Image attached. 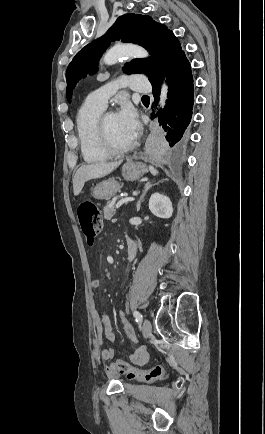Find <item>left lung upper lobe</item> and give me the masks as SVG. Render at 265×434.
<instances>
[{
  "instance_id": "5c2ea615",
  "label": "left lung upper lobe",
  "mask_w": 265,
  "mask_h": 434,
  "mask_svg": "<svg viewBox=\"0 0 265 434\" xmlns=\"http://www.w3.org/2000/svg\"><path fill=\"white\" fill-rule=\"evenodd\" d=\"M115 40L137 43L149 50L152 54L150 58L134 59L123 70L127 74H145L153 87L161 83L163 72L167 76L179 56L185 54L177 37L167 26L147 15H122L103 37L85 46L69 64L66 71V95L69 102L78 79L84 77L88 70L89 73L95 71L100 56Z\"/></svg>"
}]
</instances>
